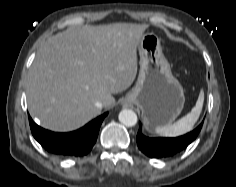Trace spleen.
Masks as SVG:
<instances>
[{
  "label": "spleen",
  "instance_id": "3e777b00",
  "mask_svg": "<svg viewBox=\"0 0 236 187\" xmlns=\"http://www.w3.org/2000/svg\"><path fill=\"white\" fill-rule=\"evenodd\" d=\"M204 103V93L200 92L195 106L186 116L171 125L161 126L155 129V132L164 137H176L183 135L193 129L194 124L197 122Z\"/></svg>",
  "mask_w": 236,
  "mask_h": 187
}]
</instances>
